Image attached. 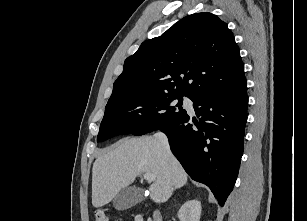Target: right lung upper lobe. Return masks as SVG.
I'll list each match as a JSON object with an SVG mask.
<instances>
[{"label":"right lung upper lobe","instance_id":"obj_1","mask_svg":"<svg viewBox=\"0 0 307 221\" xmlns=\"http://www.w3.org/2000/svg\"><path fill=\"white\" fill-rule=\"evenodd\" d=\"M246 83L239 48L216 15L192 14L128 57L108 104L131 95L165 93L196 98Z\"/></svg>","mask_w":307,"mask_h":221}]
</instances>
